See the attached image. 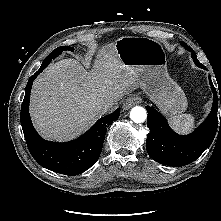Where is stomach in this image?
Returning a JSON list of instances; mask_svg holds the SVG:
<instances>
[{
	"instance_id": "1",
	"label": "stomach",
	"mask_w": 221,
	"mask_h": 221,
	"mask_svg": "<svg viewBox=\"0 0 221 221\" xmlns=\"http://www.w3.org/2000/svg\"><path fill=\"white\" fill-rule=\"evenodd\" d=\"M122 63L136 73L140 88L168 116L184 112L187 99L167 72L162 45L148 37L125 36L115 42Z\"/></svg>"
}]
</instances>
